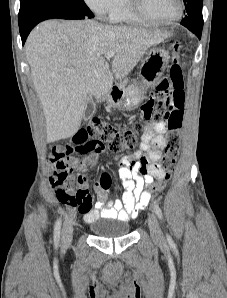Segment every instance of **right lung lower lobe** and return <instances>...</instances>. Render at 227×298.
Here are the masks:
<instances>
[{
	"instance_id": "1",
	"label": "right lung lower lobe",
	"mask_w": 227,
	"mask_h": 298,
	"mask_svg": "<svg viewBox=\"0 0 227 298\" xmlns=\"http://www.w3.org/2000/svg\"><path fill=\"white\" fill-rule=\"evenodd\" d=\"M93 16L84 15V14H77V13H70L58 10H50L40 12L22 24H19L20 35L22 39V44L25 43L26 38L30 31L41 21L51 18H61V19H84V18H92Z\"/></svg>"
}]
</instances>
